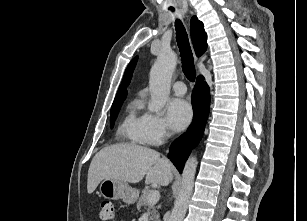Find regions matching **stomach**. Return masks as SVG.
Instances as JSON below:
<instances>
[{
  "mask_svg": "<svg viewBox=\"0 0 307 221\" xmlns=\"http://www.w3.org/2000/svg\"><path fill=\"white\" fill-rule=\"evenodd\" d=\"M99 190L103 197L111 200L122 199L127 204L134 203L139 195L138 190L127 182L114 179L102 180Z\"/></svg>",
  "mask_w": 307,
  "mask_h": 221,
  "instance_id": "0dacf381",
  "label": "stomach"
}]
</instances>
